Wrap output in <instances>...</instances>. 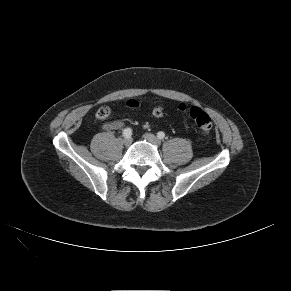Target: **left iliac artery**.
<instances>
[{"label": "left iliac artery", "mask_w": 291, "mask_h": 291, "mask_svg": "<svg viewBox=\"0 0 291 291\" xmlns=\"http://www.w3.org/2000/svg\"><path fill=\"white\" fill-rule=\"evenodd\" d=\"M157 137H158L159 139H163V138L165 137L164 132H162V131L158 132V133H157Z\"/></svg>", "instance_id": "obj_1"}]
</instances>
